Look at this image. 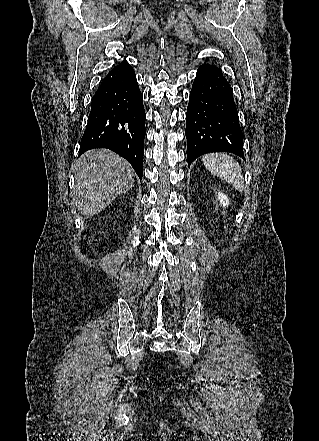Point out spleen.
<instances>
[{
	"mask_svg": "<svg viewBox=\"0 0 319 441\" xmlns=\"http://www.w3.org/2000/svg\"><path fill=\"white\" fill-rule=\"evenodd\" d=\"M206 169L222 180L231 184L235 190H244V178L240 164L232 157L221 153H212L202 157Z\"/></svg>",
	"mask_w": 319,
	"mask_h": 441,
	"instance_id": "spleen-1",
	"label": "spleen"
}]
</instances>
